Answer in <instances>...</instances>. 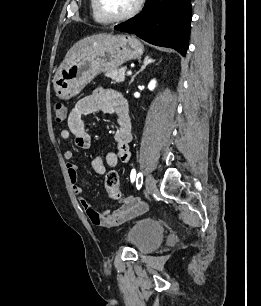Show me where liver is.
Here are the masks:
<instances>
[{
	"label": "liver",
	"instance_id": "1",
	"mask_svg": "<svg viewBox=\"0 0 261 306\" xmlns=\"http://www.w3.org/2000/svg\"><path fill=\"white\" fill-rule=\"evenodd\" d=\"M109 36V34L107 33H100V34H95V35H91L88 37H85L81 40H79L78 42H76L67 52L66 56H65V60L72 58L74 55H76V53H78L79 51H81V49H83L84 47L99 41L105 37Z\"/></svg>",
	"mask_w": 261,
	"mask_h": 306
}]
</instances>
